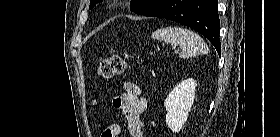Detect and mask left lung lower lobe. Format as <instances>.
Instances as JSON below:
<instances>
[{
  "mask_svg": "<svg viewBox=\"0 0 280 137\" xmlns=\"http://www.w3.org/2000/svg\"><path fill=\"white\" fill-rule=\"evenodd\" d=\"M218 0H161L144 16L161 17L189 26L203 34L221 53Z\"/></svg>",
  "mask_w": 280,
  "mask_h": 137,
  "instance_id": "1",
  "label": "left lung lower lobe"
}]
</instances>
